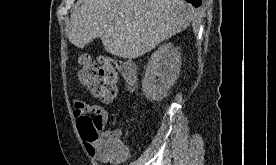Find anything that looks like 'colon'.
I'll return each mask as SVG.
<instances>
[{
	"label": "colon",
	"mask_w": 276,
	"mask_h": 165,
	"mask_svg": "<svg viewBox=\"0 0 276 165\" xmlns=\"http://www.w3.org/2000/svg\"><path fill=\"white\" fill-rule=\"evenodd\" d=\"M79 65L80 82L91 96L103 102H110L116 97L119 77H122L130 88L135 86L136 71L128 61L110 56H102L96 61L91 56L83 54L79 57ZM77 124L86 145L104 143L109 151L122 154L116 138L111 133L103 131L95 120L89 116H83Z\"/></svg>",
	"instance_id": "colon-1"
}]
</instances>
